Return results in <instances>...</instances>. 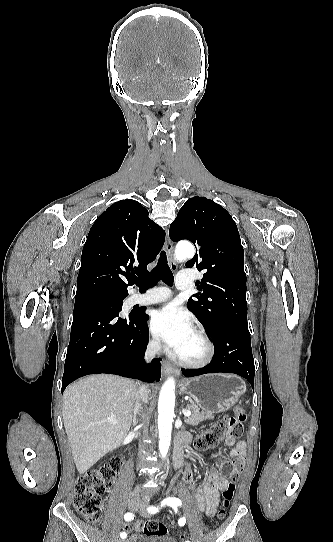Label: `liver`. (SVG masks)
<instances>
[{
    "label": "liver",
    "instance_id": "obj_1",
    "mask_svg": "<svg viewBox=\"0 0 333 542\" xmlns=\"http://www.w3.org/2000/svg\"><path fill=\"white\" fill-rule=\"evenodd\" d=\"M136 388L134 380L110 374H93L66 388L63 422L79 474H85L126 438L137 400ZM110 422H116V426Z\"/></svg>",
    "mask_w": 333,
    "mask_h": 542
}]
</instances>
